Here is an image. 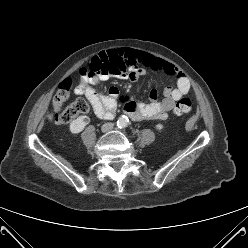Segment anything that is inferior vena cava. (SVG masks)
<instances>
[{"label":"inferior vena cava","instance_id":"1","mask_svg":"<svg viewBox=\"0 0 248 248\" xmlns=\"http://www.w3.org/2000/svg\"><path fill=\"white\" fill-rule=\"evenodd\" d=\"M113 126H114L113 123L107 122V123H105V124L102 125L101 130H102V132H109L110 130L113 129Z\"/></svg>","mask_w":248,"mask_h":248}]
</instances>
